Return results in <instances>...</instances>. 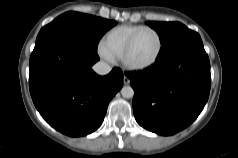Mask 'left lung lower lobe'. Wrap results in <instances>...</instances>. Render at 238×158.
<instances>
[{"mask_svg": "<svg viewBox=\"0 0 238 158\" xmlns=\"http://www.w3.org/2000/svg\"><path fill=\"white\" fill-rule=\"evenodd\" d=\"M134 89L133 112L145 129L173 135L201 113L210 92V62L201 38L157 57L155 64L126 74Z\"/></svg>", "mask_w": 238, "mask_h": 158, "instance_id": "0a47b994", "label": "left lung lower lobe"}]
</instances>
